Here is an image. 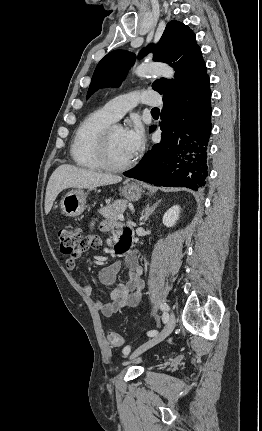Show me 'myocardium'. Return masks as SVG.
Listing matches in <instances>:
<instances>
[{"label": "myocardium", "mask_w": 262, "mask_h": 431, "mask_svg": "<svg viewBox=\"0 0 262 431\" xmlns=\"http://www.w3.org/2000/svg\"><path fill=\"white\" fill-rule=\"evenodd\" d=\"M116 125H109L105 128L100 137L99 158L104 169L108 171H124L131 168L135 164V159H131L123 164H115L110 156V140Z\"/></svg>", "instance_id": "f54148a6"}]
</instances>
